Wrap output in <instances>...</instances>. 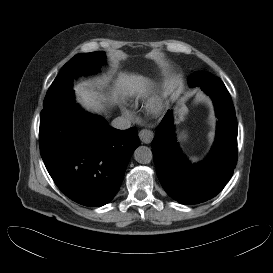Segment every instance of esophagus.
I'll return each instance as SVG.
<instances>
[{
  "label": "esophagus",
  "mask_w": 273,
  "mask_h": 273,
  "mask_svg": "<svg viewBox=\"0 0 273 273\" xmlns=\"http://www.w3.org/2000/svg\"><path fill=\"white\" fill-rule=\"evenodd\" d=\"M138 135H139L140 140L145 144L151 143L153 136H154L153 132L148 129L140 130Z\"/></svg>",
  "instance_id": "1"
}]
</instances>
